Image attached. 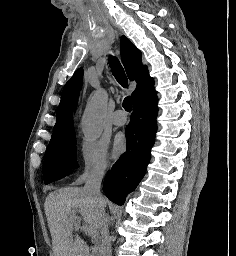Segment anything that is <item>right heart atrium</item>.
<instances>
[{
	"mask_svg": "<svg viewBox=\"0 0 236 256\" xmlns=\"http://www.w3.org/2000/svg\"><path fill=\"white\" fill-rule=\"evenodd\" d=\"M77 161L79 170L74 180L75 183L101 179L109 167L107 148L97 141H84L80 147Z\"/></svg>",
	"mask_w": 236,
	"mask_h": 256,
	"instance_id": "right-heart-atrium-1",
	"label": "right heart atrium"
}]
</instances>
